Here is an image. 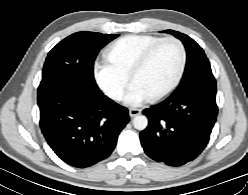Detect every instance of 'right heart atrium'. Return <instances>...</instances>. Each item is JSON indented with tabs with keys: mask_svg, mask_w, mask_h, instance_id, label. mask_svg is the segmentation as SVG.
<instances>
[{
	"mask_svg": "<svg viewBox=\"0 0 248 195\" xmlns=\"http://www.w3.org/2000/svg\"><path fill=\"white\" fill-rule=\"evenodd\" d=\"M101 85L107 90L119 91L124 88L125 82L114 67H104L99 72Z\"/></svg>",
	"mask_w": 248,
	"mask_h": 195,
	"instance_id": "obj_1",
	"label": "right heart atrium"
}]
</instances>
